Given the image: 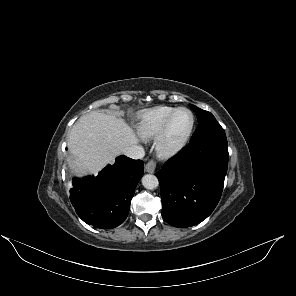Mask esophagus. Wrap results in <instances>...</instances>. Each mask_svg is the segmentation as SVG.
I'll return each instance as SVG.
<instances>
[{
  "label": "esophagus",
  "instance_id": "34e87169",
  "mask_svg": "<svg viewBox=\"0 0 296 296\" xmlns=\"http://www.w3.org/2000/svg\"><path fill=\"white\" fill-rule=\"evenodd\" d=\"M155 169H156V162L153 160L149 161L145 166V170L148 173H154Z\"/></svg>",
  "mask_w": 296,
  "mask_h": 296
}]
</instances>
